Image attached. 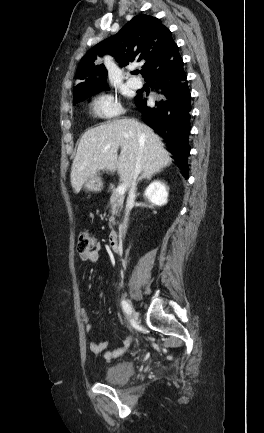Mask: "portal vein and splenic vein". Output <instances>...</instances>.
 I'll return each mask as SVG.
<instances>
[{
  "instance_id": "portal-vein-and-splenic-vein-1",
  "label": "portal vein and splenic vein",
  "mask_w": 264,
  "mask_h": 433,
  "mask_svg": "<svg viewBox=\"0 0 264 433\" xmlns=\"http://www.w3.org/2000/svg\"><path fill=\"white\" fill-rule=\"evenodd\" d=\"M126 189H127V187H126L124 184H121V185H119V186L117 187V189H116V193H117L118 195L123 196V195L125 194V192H126Z\"/></svg>"
}]
</instances>
